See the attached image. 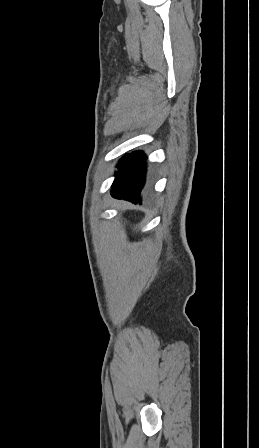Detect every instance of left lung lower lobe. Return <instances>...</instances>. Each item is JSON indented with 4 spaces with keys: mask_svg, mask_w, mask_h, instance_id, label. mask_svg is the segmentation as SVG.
I'll return each instance as SVG.
<instances>
[{
    "mask_svg": "<svg viewBox=\"0 0 259 448\" xmlns=\"http://www.w3.org/2000/svg\"><path fill=\"white\" fill-rule=\"evenodd\" d=\"M146 155L142 151L125 154L117 165L111 195L117 199L141 203V190L145 183Z\"/></svg>",
    "mask_w": 259,
    "mask_h": 448,
    "instance_id": "1",
    "label": "left lung lower lobe"
}]
</instances>
